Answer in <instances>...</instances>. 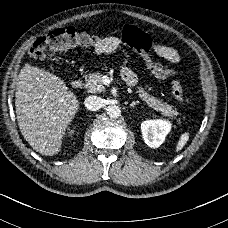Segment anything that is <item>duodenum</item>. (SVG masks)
<instances>
[{"instance_id":"duodenum-1","label":"duodenum","mask_w":228,"mask_h":228,"mask_svg":"<svg viewBox=\"0 0 228 228\" xmlns=\"http://www.w3.org/2000/svg\"><path fill=\"white\" fill-rule=\"evenodd\" d=\"M82 84H83V81L79 77L74 78L71 82V86L74 89H80L82 87ZM128 84L131 85V82H129Z\"/></svg>"}]
</instances>
